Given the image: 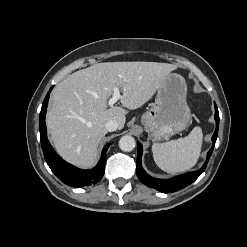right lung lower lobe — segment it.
I'll return each instance as SVG.
<instances>
[{"mask_svg": "<svg viewBox=\"0 0 247 247\" xmlns=\"http://www.w3.org/2000/svg\"><path fill=\"white\" fill-rule=\"evenodd\" d=\"M53 88V87H52ZM52 88L47 93L42 104L39 117V130L41 136V145L44 153L45 161L52 172L64 183L72 187L89 186L96 184L104 175L105 172V157L110 146L107 144L102 151L101 158L98 164L91 170H82L74 167L62 160L53 150L47 139V130L45 124L46 108L48 105L49 94Z\"/></svg>", "mask_w": 247, "mask_h": 247, "instance_id": "right-lung-lower-lobe-1", "label": "right lung lower lobe"}]
</instances>
